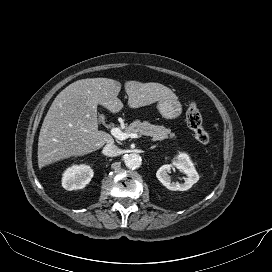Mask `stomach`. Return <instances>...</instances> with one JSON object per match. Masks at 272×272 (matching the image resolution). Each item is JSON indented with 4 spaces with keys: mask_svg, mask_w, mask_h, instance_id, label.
Instances as JSON below:
<instances>
[{
    "mask_svg": "<svg viewBox=\"0 0 272 272\" xmlns=\"http://www.w3.org/2000/svg\"><path fill=\"white\" fill-rule=\"evenodd\" d=\"M157 108L165 119H175L182 113V105L176 98L161 100Z\"/></svg>",
    "mask_w": 272,
    "mask_h": 272,
    "instance_id": "obj_1",
    "label": "stomach"
}]
</instances>
